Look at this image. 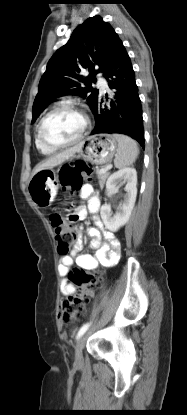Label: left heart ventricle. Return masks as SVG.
Masks as SVG:
<instances>
[{
    "instance_id": "b2bd125f",
    "label": "left heart ventricle",
    "mask_w": 187,
    "mask_h": 415,
    "mask_svg": "<svg viewBox=\"0 0 187 415\" xmlns=\"http://www.w3.org/2000/svg\"><path fill=\"white\" fill-rule=\"evenodd\" d=\"M84 125L82 115L74 109L61 108L45 121L44 137L52 143H65L76 138Z\"/></svg>"
}]
</instances>
